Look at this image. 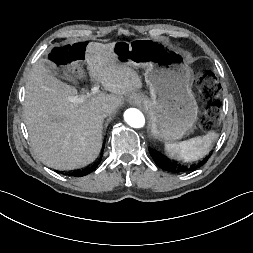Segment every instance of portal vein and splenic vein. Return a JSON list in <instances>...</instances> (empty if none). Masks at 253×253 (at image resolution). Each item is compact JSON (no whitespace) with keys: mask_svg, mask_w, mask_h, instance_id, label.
Returning a JSON list of instances; mask_svg holds the SVG:
<instances>
[{"mask_svg":"<svg viewBox=\"0 0 253 253\" xmlns=\"http://www.w3.org/2000/svg\"><path fill=\"white\" fill-rule=\"evenodd\" d=\"M99 91V85H96L94 86L92 89H91V93L89 95H94L96 93H98ZM86 95H81L79 97H74L73 98V101L74 102H78V103H81V102H84L86 100Z\"/></svg>","mask_w":253,"mask_h":253,"instance_id":"1","label":"portal vein and splenic vein"}]
</instances>
